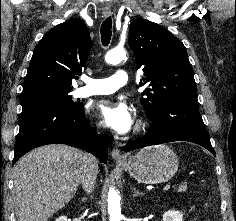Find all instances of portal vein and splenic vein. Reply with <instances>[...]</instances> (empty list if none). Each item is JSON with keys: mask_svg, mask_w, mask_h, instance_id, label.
<instances>
[{"mask_svg": "<svg viewBox=\"0 0 236 221\" xmlns=\"http://www.w3.org/2000/svg\"><path fill=\"white\" fill-rule=\"evenodd\" d=\"M171 185L170 183L166 184L164 187H163V191H168L170 189ZM182 187V186H181Z\"/></svg>", "mask_w": 236, "mask_h": 221, "instance_id": "portal-vein-and-splenic-vein-1", "label": "portal vein and splenic vein"}]
</instances>
